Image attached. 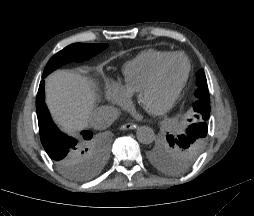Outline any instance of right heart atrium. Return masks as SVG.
I'll return each instance as SVG.
<instances>
[{
  "label": "right heart atrium",
  "mask_w": 254,
  "mask_h": 216,
  "mask_svg": "<svg viewBox=\"0 0 254 216\" xmlns=\"http://www.w3.org/2000/svg\"><path fill=\"white\" fill-rule=\"evenodd\" d=\"M105 94L109 102L120 107H127L131 102V95L112 82H107Z\"/></svg>",
  "instance_id": "obj_1"
}]
</instances>
